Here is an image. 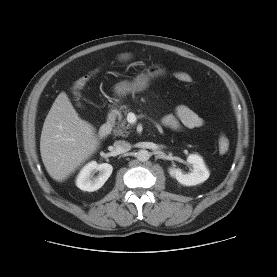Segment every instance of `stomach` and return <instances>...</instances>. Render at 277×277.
I'll list each match as a JSON object with an SVG mask.
<instances>
[{
    "label": "stomach",
    "instance_id": "1",
    "mask_svg": "<svg viewBox=\"0 0 277 277\" xmlns=\"http://www.w3.org/2000/svg\"><path fill=\"white\" fill-rule=\"evenodd\" d=\"M166 72V67L162 64H157L149 67L144 72L139 74L132 82L123 81L115 86V93L119 97H124L128 93H135L144 90L149 81L154 77L163 75Z\"/></svg>",
    "mask_w": 277,
    "mask_h": 277
}]
</instances>
